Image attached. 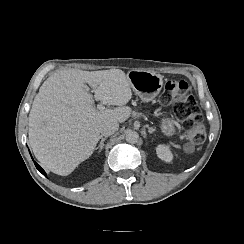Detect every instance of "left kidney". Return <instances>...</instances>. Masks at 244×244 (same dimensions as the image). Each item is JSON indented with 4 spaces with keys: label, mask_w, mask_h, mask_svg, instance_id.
Wrapping results in <instances>:
<instances>
[{
    "label": "left kidney",
    "mask_w": 244,
    "mask_h": 244,
    "mask_svg": "<svg viewBox=\"0 0 244 244\" xmlns=\"http://www.w3.org/2000/svg\"><path fill=\"white\" fill-rule=\"evenodd\" d=\"M156 153L157 156L165 162H171L173 160V154L168 145L165 144L158 145L156 147Z\"/></svg>",
    "instance_id": "1"
}]
</instances>
